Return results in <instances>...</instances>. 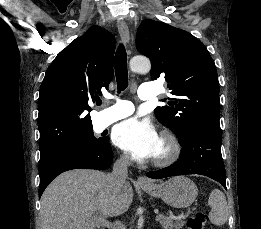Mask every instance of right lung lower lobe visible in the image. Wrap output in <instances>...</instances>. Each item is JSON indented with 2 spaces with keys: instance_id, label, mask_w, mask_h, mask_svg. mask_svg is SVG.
<instances>
[{
  "instance_id": "right-lung-lower-lobe-1",
  "label": "right lung lower lobe",
  "mask_w": 261,
  "mask_h": 229,
  "mask_svg": "<svg viewBox=\"0 0 261 229\" xmlns=\"http://www.w3.org/2000/svg\"><path fill=\"white\" fill-rule=\"evenodd\" d=\"M112 160L113 152L109 142L97 150L60 151L40 158L39 197L49 183L62 172L79 168L104 170L111 166Z\"/></svg>"
}]
</instances>
